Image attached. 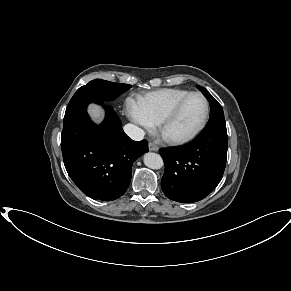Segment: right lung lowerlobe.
Returning <instances> with one entry per match:
<instances>
[{"instance_id":"obj_1","label":"right lung lower lobe","mask_w":291,"mask_h":291,"mask_svg":"<svg viewBox=\"0 0 291 291\" xmlns=\"http://www.w3.org/2000/svg\"><path fill=\"white\" fill-rule=\"evenodd\" d=\"M104 108L100 125L87 112L80 119L64 120L61 148L65 168L78 188L93 199L112 201L127 190L132 164L148 152V143L131 140L110 107Z\"/></svg>"}]
</instances>
